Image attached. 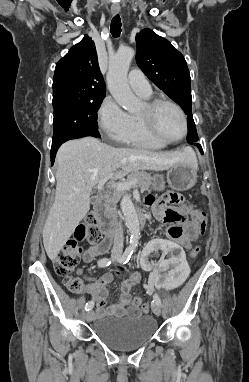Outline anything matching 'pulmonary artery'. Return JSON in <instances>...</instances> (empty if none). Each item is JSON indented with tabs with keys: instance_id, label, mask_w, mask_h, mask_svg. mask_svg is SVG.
<instances>
[{
	"instance_id": "1",
	"label": "pulmonary artery",
	"mask_w": 249,
	"mask_h": 382,
	"mask_svg": "<svg viewBox=\"0 0 249 382\" xmlns=\"http://www.w3.org/2000/svg\"><path fill=\"white\" fill-rule=\"evenodd\" d=\"M128 83L133 91L140 95L149 96L151 94V86L146 76L137 69L129 72Z\"/></svg>"
}]
</instances>
